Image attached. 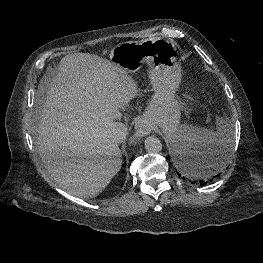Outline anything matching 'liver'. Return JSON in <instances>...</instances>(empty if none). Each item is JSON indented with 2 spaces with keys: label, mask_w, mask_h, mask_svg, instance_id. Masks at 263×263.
I'll list each match as a JSON object with an SVG mask.
<instances>
[{
  "label": "liver",
  "mask_w": 263,
  "mask_h": 263,
  "mask_svg": "<svg viewBox=\"0 0 263 263\" xmlns=\"http://www.w3.org/2000/svg\"><path fill=\"white\" fill-rule=\"evenodd\" d=\"M57 75L40 82L46 100L40 114L37 148L54 181L68 193L89 198L118 173L122 154L111 138L119 108L138 94L120 66L90 53L63 57Z\"/></svg>",
  "instance_id": "1"
}]
</instances>
